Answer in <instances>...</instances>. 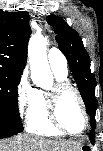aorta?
Returning <instances> with one entry per match:
<instances>
[{
    "instance_id": "obj_1",
    "label": "aorta",
    "mask_w": 103,
    "mask_h": 151,
    "mask_svg": "<svg viewBox=\"0 0 103 151\" xmlns=\"http://www.w3.org/2000/svg\"><path fill=\"white\" fill-rule=\"evenodd\" d=\"M28 61L33 80L39 82L43 77H51L45 39L41 34V28L38 26H36V33L29 40Z\"/></svg>"
}]
</instances>
